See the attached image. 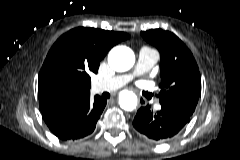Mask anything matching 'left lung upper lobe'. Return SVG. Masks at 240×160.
<instances>
[{
	"label": "left lung upper lobe",
	"instance_id": "5c2ea615",
	"mask_svg": "<svg viewBox=\"0 0 240 160\" xmlns=\"http://www.w3.org/2000/svg\"><path fill=\"white\" fill-rule=\"evenodd\" d=\"M141 35L161 55L160 104L191 116L201 96V76L193 54L172 32L151 29Z\"/></svg>",
	"mask_w": 240,
	"mask_h": 160
}]
</instances>
